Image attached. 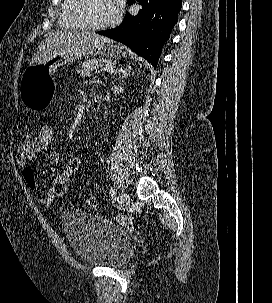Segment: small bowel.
Masks as SVG:
<instances>
[{
    "instance_id": "obj_1",
    "label": "small bowel",
    "mask_w": 272,
    "mask_h": 303,
    "mask_svg": "<svg viewBox=\"0 0 272 303\" xmlns=\"http://www.w3.org/2000/svg\"><path fill=\"white\" fill-rule=\"evenodd\" d=\"M88 148V147H87ZM42 155L47 159L46 164H56L60 161V153L54 147H48L41 144L37 138L25 135L18 147L16 161L19 167H25L27 163L37 156ZM56 195L52 187L40 198L41 205L49 207L54 201Z\"/></svg>"
}]
</instances>
